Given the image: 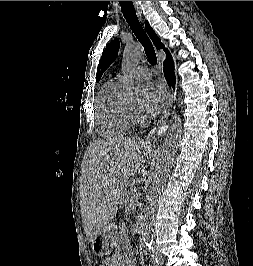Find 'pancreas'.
Listing matches in <instances>:
<instances>
[{
    "label": "pancreas",
    "mask_w": 253,
    "mask_h": 266,
    "mask_svg": "<svg viewBox=\"0 0 253 266\" xmlns=\"http://www.w3.org/2000/svg\"><path fill=\"white\" fill-rule=\"evenodd\" d=\"M139 194L136 190H132L131 188L126 190L123 195L121 202L127 205L129 208L133 209L138 203Z\"/></svg>",
    "instance_id": "obj_1"
}]
</instances>
